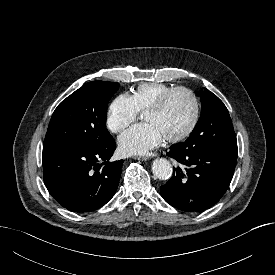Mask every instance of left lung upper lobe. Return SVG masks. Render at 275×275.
I'll use <instances>...</instances> for the list:
<instances>
[{"mask_svg": "<svg viewBox=\"0 0 275 275\" xmlns=\"http://www.w3.org/2000/svg\"><path fill=\"white\" fill-rule=\"evenodd\" d=\"M201 116L184 143L179 148L208 147L237 150V141L229 112L223 102L205 89L201 95Z\"/></svg>", "mask_w": 275, "mask_h": 275, "instance_id": "1", "label": "left lung upper lobe"}]
</instances>
